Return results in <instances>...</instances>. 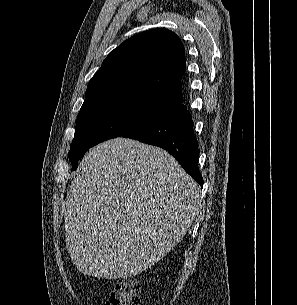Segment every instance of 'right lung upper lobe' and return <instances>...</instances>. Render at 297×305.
I'll return each mask as SVG.
<instances>
[{
    "label": "right lung upper lobe",
    "mask_w": 297,
    "mask_h": 305,
    "mask_svg": "<svg viewBox=\"0 0 297 305\" xmlns=\"http://www.w3.org/2000/svg\"><path fill=\"white\" fill-rule=\"evenodd\" d=\"M185 69L184 46L174 32L163 28L142 32L108 54L90 80L81 108L119 96L179 104Z\"/></svg>",
    "instance_id": "obj_1"
}]
</instances>
